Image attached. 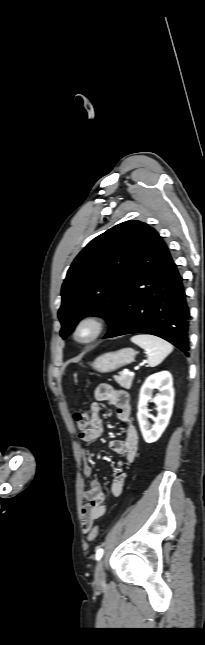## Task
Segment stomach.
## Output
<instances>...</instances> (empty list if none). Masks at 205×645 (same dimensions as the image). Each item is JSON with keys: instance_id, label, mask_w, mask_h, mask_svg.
Returning a JSON list of instances; mask_svg holds the SVG:
<instances>
[{"instance_id": "1", "label": "stomach", "mask_w": 205, "mask_h": 645, "mask_svg": "<svg viewBox=\"0 0 205 645\" xmlns=\"http://www.w3.org/2000/svg\"><path fill=\"white\" fill-rule=\"evenodd\" d=\"M136 352L132 348L105 353L94 360L91 367L99 373H109L134 361Z\"/></svg>"}]
</instances>
